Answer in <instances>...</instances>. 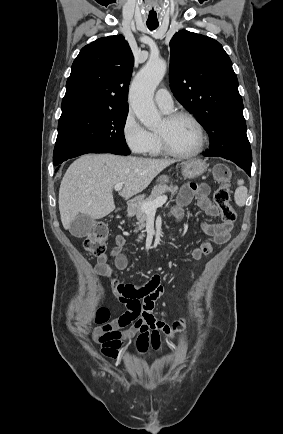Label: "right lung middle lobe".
I'll list each match as a JSON object with an SVG mask.
<instances>
[{"label": "right lung middle lobe", "mask_w": 283, "mask_h": 434, "mask_svg": "<svg viewBox=\"0 0 283 434\" xmlns=\"http://www.w3.org/2000/svg\"><path fill=\"white\" fill-rule=\"evenodd\" d=\"M128 109L75 113L60 117L53 163L55 166L84 152L107 151L128 155L124 137Z\"/></svg>", "instance_id": "dd1d6c3e"}]
</instances>
